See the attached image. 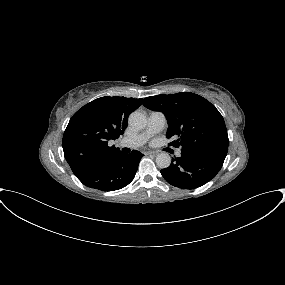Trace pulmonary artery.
Listing matches in <instances>:
<instances>
[{
    "label": "pulmonary artery",
    "mask_w": 285,
    "mask_h": 285,
    "mask_svg": "<svg viewBox=\"0 0 285 285\" xmlns=\"http://www.w3.org/2000/svg\"><path fill=\"white\" fill-rule=\"evenodd\" d=\"M167 124V118L160 111L151 112L147 127L144 131L130 137H124L119 141L121 147L137 148L144 145L152 136L161 132Z\"/></svg>",
    "instance_id": "pulmonary-artery-1"
}]
</instances>
